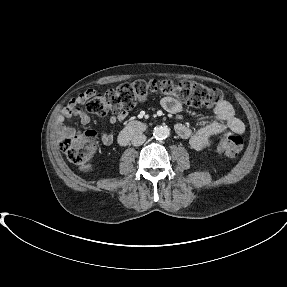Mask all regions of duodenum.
Masks as SVG:
<instances>
[{
	"mask_svg": "<svg viewBox=\"0 0 287 287\" xmlns=\"http://www.w3.org/2000/svg\"><path fill=\"white\" fill-rule=\"evenodd\" d=\"M146 130V125L138 120L130 121L124 129L121 131L118 137L120 144H126L131 137L134 135L140 134Z\"/></svg>",
	"mask_w": 287,
	"mask_h": 287,
	"instance_id": "410a0bca",
	"label": "duodenum"
}]
</instances>
